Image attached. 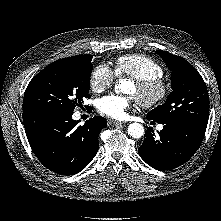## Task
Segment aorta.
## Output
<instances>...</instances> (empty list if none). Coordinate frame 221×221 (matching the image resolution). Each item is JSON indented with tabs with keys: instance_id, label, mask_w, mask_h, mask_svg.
<instances>
[{
	"instance_id": "1",
	"label": "aorta",
	"mask_w": 221,
	"mask_h": 221,
	"mask_svg": "<svg viewBox=\"0 0 221 221\" xmlns=\"http://www.w3.org/2000/svg\"><path fill=\"white\" fill-rule=\"evenodd\" d=\"M122 85V83H121ZM119 87V85H118ZM117 89V86H116ZM128 134L133 138H140L144 135V127L140 123H132L128 126Z\"/></svg>"
}]
</instances>
